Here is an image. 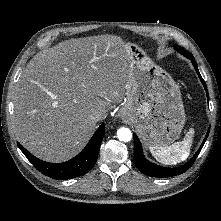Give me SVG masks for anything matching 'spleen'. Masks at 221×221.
Segmentation results:
<instances>
[{
  "label": "spleen",
  "mask_w": 221,
  "mask_h": 221,
  "mask_svg": "<svg viewBox=\"0 0 221 221\" xmlns=\"http://www.w3.org/2000/svg\"><path fill=\"white\" fill-rule=\"evenodd\" d=\"M194 129L190 128L184 139L170 146H151L150 152L157 161L165 165H175L188 158L193 143Z\"/></svg>",
  "instance_id": "3e777b00"
}]
</instances>
